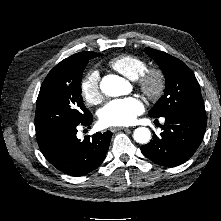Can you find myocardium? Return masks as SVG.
Returning a JSON list of instances; mask_svg holds the SVG:
<instances>
[{
  "mask_svg": "<svg viewBox=\"0 0 221 221\" xmlns=\"http://www.w3.org/2000/svg\"><path fill=\"white\" fill-rule=\"evenodd\" d=\"M136 81L142 93L151 100L159 99L166 89V77L159 68L147 69Z\"/></svg>",
  "mask_w": 221,
  "mask_h": 221,
  "instance_id": "myocardium-1",
  "label": "myocardium"
}]
</instances>
